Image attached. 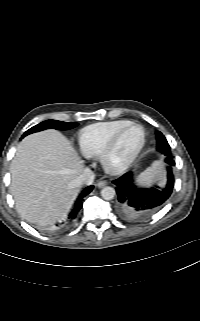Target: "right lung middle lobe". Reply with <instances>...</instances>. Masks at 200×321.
Returning a JSON list of instances; mask_svg holds the SVG:
<instances>
[{
  "label": "right lung middle lobe",
  "instance_id": "obj_1",
  "mask_svg": "<svg viewBox=\"0 0 200 321\" xmlns=\"http://www.w3.org/2000/svg\"><path fill=\"white\" fill-rule=\"evenodd\" d=\"M78 123H69V122H62V121H57V120H46L44 122L39 123L38 125L30 128L28 131L24 133L22 136L25 137L28 134L34 133V132H39L45 129L49 128H54L57 130H68L76 127Z\"/></svg>",
  "mask_w": 200,
  "mask_h": 321
}]
</instances>
